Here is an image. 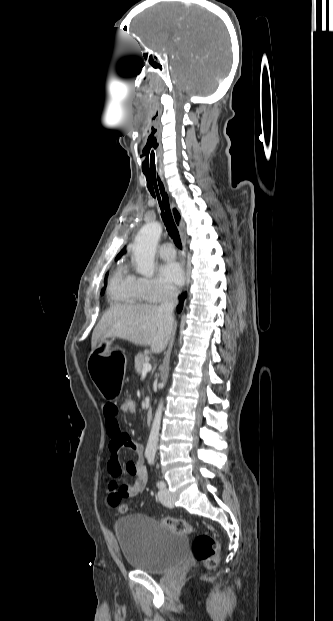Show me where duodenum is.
<instances>
[{"mask_svg": "<svg viewBox=\"0 0 333 621\" xmlns=\"http://www.w3.org/2000/svg\"><path fill=\"white\" fill-rule=\"evenodd\" d=\"M153 419V411L151 409H148L146 412V421L147 423H151Z\"/></svg>", "mask_w": 333, "mask_h": 621, "instance_id": "obj_1", "label": "duodenum"}]
</instances>
